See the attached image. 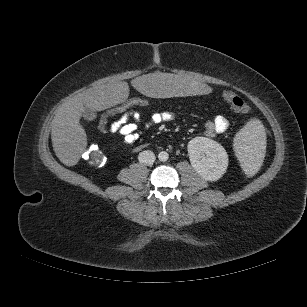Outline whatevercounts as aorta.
Listing matches in <instances>:
<instances>
[{"label": "aorta", "instance_id": "obj_1", "mask_svg": "<svg viewBox=\"0 0 307 307\" xmlns=\"http://www.w3.org/2000/svg\"><path fill=\"white\" fill-rule=\"evenodd\" d=\"M168 158H169V154L166 151L159 152V154H158L159 161L165 162V161L168 160Z\"/></svg>", "mask_w": 307, "mask_h": 307}]
</instances>
